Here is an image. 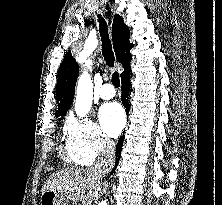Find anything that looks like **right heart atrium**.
<instances>
[{
    "instance_id": "1",
    "label": "right heart atrium",
    "mask_w": 222,
    "mask_h": 205,
    "mask_svg": "<svg viewBox=\"0 0 222 205\" xmlns=\"http://www.w3.org/2000/svg\"><path fill=\"white\" fill-rule=\"evenodd\" d=\"M66 134L67 148L81 165H91L112 151V141L90 119H72Z\"/></svg>"
}]
</instances>
